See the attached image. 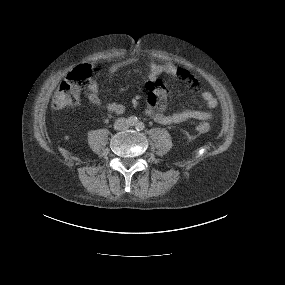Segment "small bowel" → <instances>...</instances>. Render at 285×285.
Wrapping results in <instances>:
<instances>
[{
  "instance_id": "obj_1",
  "label": "small bowel",
  "mask_w": 285,
  "mask_h": 285,
  "mask_svg": "<svg viewBox=\"0 0 285 285\" xmlns=\"http://www.w3.org/2000/svg\"><path fill=\"white\" fill-rule=\"evenodd\" d=\"M134 62H136L134 58H129L127 60L114 63L110 66L109 72L110 74H114L121 68L131 65ZM149 67L150 80L147 84L149 92L147 95V106L145 108V114L147 116L164 125L179 124L187 120L206 121L210 119V112L199 108L183 109L173 113H167V91L164 85L157 79V76L161 74L178 75L184 79L188 86L192 89H197L199 84L193 76V78L190 80H187L185 76H181L180 71L187 70L179 68L174 64L150 63ZM86 97L93 105L105 108L106 110L115 114H121L125 109L124 105L118 102L106 103L100 96L98 84L95 81L89 83ZM201 97L208 109H214L217 107V99L210 91L203 90L201 92Z\"/></svg>"
}]
</instances>
